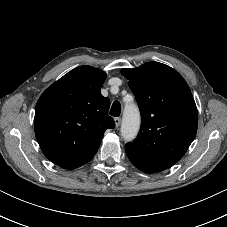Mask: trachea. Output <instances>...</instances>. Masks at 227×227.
<instances>
[{
    "label": "trachea",
    "mask_w": 227,
    "mask_h": 227,
    "mask_svg": "<svg viewBox=\"0 0 227 227\" xmlns=\"http://www.w3.org/2000/svg\"><path fill=\"white\" fill-rule=\"evenodd\" d=\"M121 104L118 101H114L110 110V115L114 117L120 116Z\"/></svg>",
    "instance_id": "3493384b"
}]
</instances>
